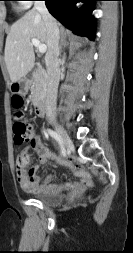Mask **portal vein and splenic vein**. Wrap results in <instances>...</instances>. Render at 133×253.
Segmentation results:
<instances>
[{"mask_svg": "<svg viewBox=\"0 0 133 253\" xmlns=\"http://www.w3.org/2000/svg\"><path fill=\"white\" fill-rule=\"evenodd\" d=\"M32 44L37 47L40 53H45L47 50V46L45 44L40 43L38 39L33 38L31 40Z\"/></svg>", "mask_w": 133, "mask_h": 253, "instance_id": "obj_1", "label": "portal vein and splenic vein"}]
</instances>
